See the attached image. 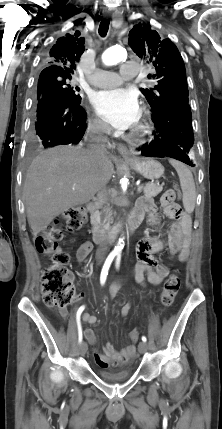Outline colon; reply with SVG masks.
I'll use <instances>...</instances> for the list:
<instances>
[{"label": "colon", "mask_w": 222, "mask_h": 429, "mask_svg": "<svg viewBox=\"0 0 222 429\" xmlns=\"http://www.w3.org/2000/svg\"><path fill=\"white\" fill-rule=\"evenodd\" d=\"M179 196L178 188L168 189L163 194L162 203L172 204ZM86 218L87 212L83 207L70 208L63 212L59 221L49 225L35 240L37 249L49 255L52 260L42 276L43 301L49 307H66L75 290L71 273L67 268L69 257L58 246V241L62 236L59 222H62L69 231H76L83 225ZM180 285L181 280L176 273L166 279L160 293V303L163 307H169L173 303ZM129 336L130 340L135 343L139 339V331L134 329Z\"/></svg>", "instance_id": "colon-1"}]
</instances>
